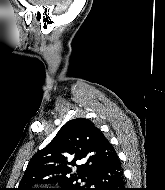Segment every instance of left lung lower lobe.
Segmentation results:
<instances>
[{"label":"left lung lower lobe","instance_id":"1","mask_svg":"<svg viewBox=\"0 0 165 190\" xmlns=\"http://www.w3.org/2000/svg\"><path fill=\"white\" fill-rule=\"evenodd\" d=\"M92 184L94 188L89 187L88 190H127L117 154L95 173Z\"/></svg>","mask_w":165,"mask_h":190}]
</instances>
